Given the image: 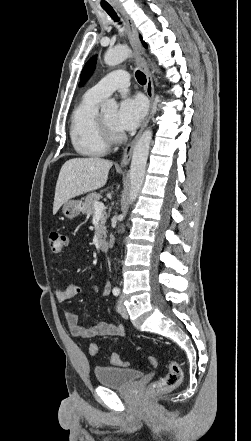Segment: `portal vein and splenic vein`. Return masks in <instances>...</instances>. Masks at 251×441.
I'll return each mask as SVG.
<instances>
[{
    "label": "portal vein and splenic vein",
    "instance_id": "obj_1",
    "mask_svg": "<svg viewBox=\"0 0 251 441\" xmlns=\"http://www.w3.org/2000/svg\"><path fill=\"white\" fill-rule=\"evenodd\" d=\"M94 209L96 212H101L104 210V204L102 202H95Z\"/></svg>",
    "mask_w": 251,
    "mask_h": 441
}]
</instances>
